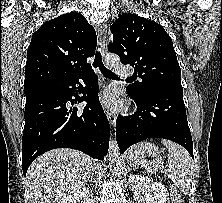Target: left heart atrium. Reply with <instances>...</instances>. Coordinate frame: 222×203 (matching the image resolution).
Returning a JSON list of instances; mask_svg holds the SVG:
<instances>
[{
  "label": "left heart atrium",
  "mask_w": 222,
  "mask_h": 203,
  "mask_svg": "<svg viewBox=\"0 0 222 203\" xmlns=\"http://www.w3.org/2000/svg\"><path fill=\"white\" fill-rule=\"evenodd\" d=\"M103 101L111 107H115L117 106V94L114 90H108L105 92L104 96H103Z\"/></svg>",
  "instance_id": "obj_1"
}]
</instances>
